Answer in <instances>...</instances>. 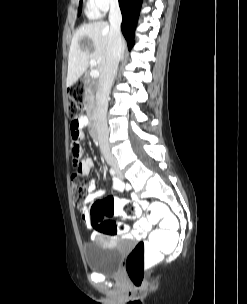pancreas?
I'll list each match as a JSON object with an SVG mask.
<instances>
[{"label": "pancreas", "mask_w": 247, "mask_h": 304, "mask_svg": "<svg viewBox=\"0 0 247 304\" xmlns=\"http://www.w3.org/2000/svg\"><path fill=\"white\" fill-rule=\"evenodd\" d=\"M83 102H84V109L86 110L87 114L91 115L95 107V99H94V95L88 89H86L85 91Z\"/></svg>", "instance_id": "1"}]
</instances>
